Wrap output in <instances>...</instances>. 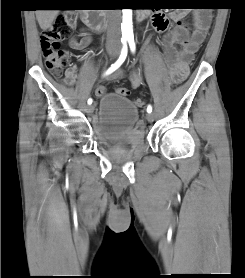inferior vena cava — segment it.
I'll use <instances>...</instances> for the list:
<instances>
[{
    "label": "inferior vena cava",
    "instance_id": "obj_1",
    "mask_svg": "<svg viewBox=\"0 0 245 278\" xmlns=\"http://www.w3.org/2000/svg\"><path fill=\"white\" fill-rule=\"evenodd\" d=\"M120 42V13L112 10L108 16L107 44Z\"/></svg>",
    "mask_w": 245,
    "mask_h": 278
}]
</instances>
